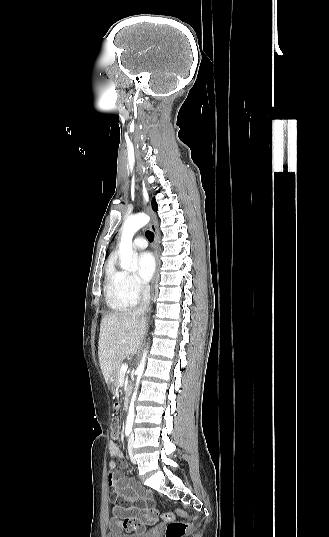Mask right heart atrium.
Wrapping results in <instances>:
<instances>
[{
	"label": "right heart atrium",
	"mask_w": 329,
	"mask_h": 537,
	"mask_svg": "<svg viewBox=\"0 0 329 537\" xmlns=\"http://www.w3.org/2000/svg\"><path fill=\"white\" fill-rule=\"evenodd\" d=\"M120 285L124 294L132 301L137 302L146 293V287L134 275L120 272Z\"/></svg>",
	"instance_id": "right-heart-atrium-1"
}]
</instances>
